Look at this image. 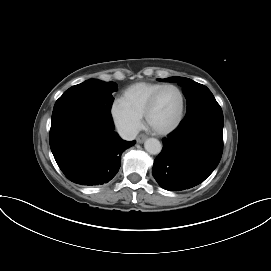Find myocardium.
Masks as SVG:
<instances>
[{"instance_id":"obj_1","label":"myocardium","mask_w":271,"mask_h":271,"mask_svg":"<svg viewBox=\"0 0 271 271\" xmlns=\"http://www.w3.org/2000/svg\"><path fill=\"white\" fill-rule=\"evenodd\" d=\"M169 88H173L175 89L179 95H180V100H181V104H180V110H179V114H178V117L176 118V120L168 127L164 128V129H156V128H153L151 125H150V115H151V112L153 111L156 103H157V100L159 98V96L162 94L163 91H165L166 89H169ZM184 115H185V96H184V93L183 91L181 90L180 87L174 85V84H166V85H163L161 88H159L151 97L150 99L148 100L145 108H144V112H143V116H144V119H145V122L147 123L148 126L151 127V129L159 134V135H166V134H169L171 133L172 131H174L179 125L180 123L182 122L183 118H184Z\"/></svg>"}]
</instances>
